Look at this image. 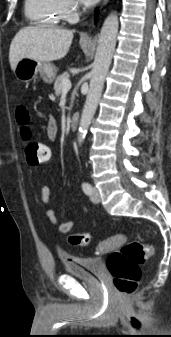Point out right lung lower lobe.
I'll return each mask as SVG.
<instances>
[{"mask_svg":"<svg viewBox=\"0 0 171 337\" xmlns=\"http://www.w3.org/2000/svg\"><path fill=\"white\" fill-rule=\"evenodd\" d=\"M97 13H98V11H96V13H95L96 19H97Z\"/></svg>","mask_w":171,"mask_h":337,"instance_id":"obj_1","label":"right lung lower lobe"}]
</instances>
